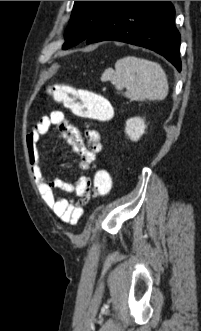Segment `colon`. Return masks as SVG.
Wrapping results in <instances>:
<instances>
[{"instance_id": "obj_1", "label": "colon", "mask_w": 201, "mask_h": 331, "mask_svg": "<svg viewBox=\"0 0 201 331\" xmlns=\"http://www.w3.org/2000/svg\"><path fill=\"white\" fill-rule=\"evenodd\" d=\"M49 95L58 103L70 109L77 116L104 122L112 117L109 101L100 94L86 89H76L71 85L55 84L49 87ZM112 189V177L109 171L99 169L94 176L89 190V198L93 195L104 197Z\"/></svg>"}]
</instances>
